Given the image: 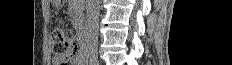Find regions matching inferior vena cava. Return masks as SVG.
Wrapping results in <instances>:
<instances>
[{
	"mask_svg": "<svg viewBox=\"0 0 232 65\" xmlns=\"http://www.w3.org/2000/svg\"><path fill=\"white\" fill-rule=\"evenodd\" d=\"M99 0H86V37L90 59L96 60L99 28Z\"/></svg>",
	"mask_w": 232,
	"mask_h": 65,
	"instance_id": "obj_1",
	"label": "inferior vena cava"
}]
</instances>
